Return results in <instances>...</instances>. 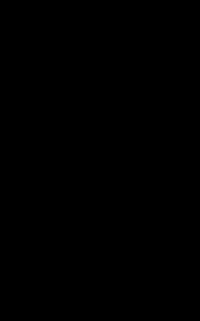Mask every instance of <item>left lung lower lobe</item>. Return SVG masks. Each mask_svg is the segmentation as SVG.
Listing matches in <instances>:
<instances>
[{"instance_id":"1","label":"left lung lower lobe","mask_w":200,"mask_h":321,"mask_svg":"<svg viewBox=\"0 0 200 321\" xmlns=\"http://www.w3.org/2000/svg\"><path fill=\"white\" fill-rule=\"evenodd\" d=\"M173 188V181L148 177L125 185L113 206L120 220L135 223L157 214L165 205Z\"/></svg>"}]
</instances>
